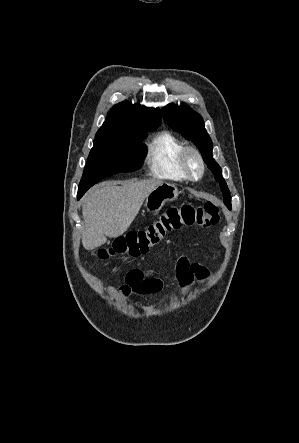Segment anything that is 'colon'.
Returning <instances> with one entry per match:
<instances>
[{
  "label": "colon",
  "mask_w": 299,
  "mask_h": 443,
  "mask_svg": "<svg viewBox=\"0 0 299 443\" xmlns=\"http://www.w3.org/2000/svg\"><path fill=\"white\" fill-rule=\"evenodd\" d=\"M219 221V208L213 202L201 205L183 203L179 207L168 208L156 221L145 229L129 232L100 250L102 259L115 256H140L157 245L170 232L182 228H207Z\"/></svg>",
  "instance_id": "1"
}]
</instances>
